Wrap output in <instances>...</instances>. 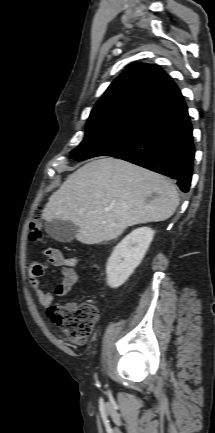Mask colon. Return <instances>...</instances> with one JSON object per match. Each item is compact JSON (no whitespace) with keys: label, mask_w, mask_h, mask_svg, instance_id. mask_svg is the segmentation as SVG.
<instances>
[{"label":"colon","mask_w":215,"mask_h":433,"mask_svg":"<svg viewBox=\"0 0 215 433\" xmlns=\"http://www.w3.org/2000/svg\"><path fill=\"white\" fill-rule=\"evenodd\" d=\"M42 233V210L38 207L32 214L29 234L30 238L35 241L42 237ZM48 314L64 336L79 345L88 341L98 317L96 306L90 303L80 306L74 304L50 306Z\"/></svg>","instance_id":"5ec220e1"}]
</instances>
